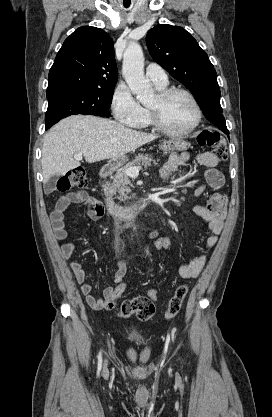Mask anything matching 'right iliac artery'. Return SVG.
<instances>
[{
  "label": "right iliac artery",
  "instance_id": "82829eb1",
  "mask_svg": "<svg viewBox=\"0 0 272 417\" xmlns=\"http://www.w3.org/2000/svg\"><path fill=\"white\" fill-rule=\"evenodd\" d=\"M98 361H99L98 371H100V369H101V352L98 354Z\"/></svg>",
  "mask_w": 272,
  "mask_h": 417
}]
</instances>
